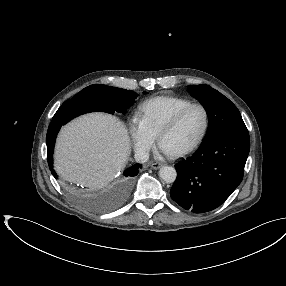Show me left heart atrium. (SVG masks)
<instances>
[{"label":"left heart atrium","instance_id":"1","mask_svg":"<svg viewBox=\"0 0 286 286\" xmlns=\"http://www.w3.org/2000/svg\"><path fill=\"white\" fill-rule=\"evenodd\" d=\"M160 150L163 154H166V155H170L171 153L168 152L166 149H164L163 147L160 146Z\"/></svg>","mask_w":286,"mask_h":286}]
</instances>
